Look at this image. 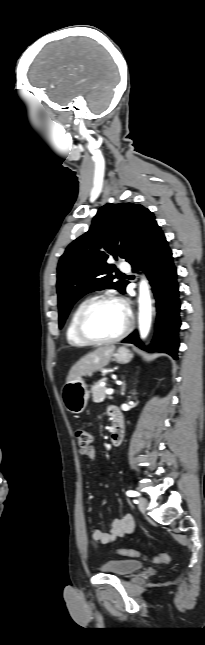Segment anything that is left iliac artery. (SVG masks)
Segmentation results:
<instances>
[{"mask_svg": "<svg viewBox=\"0 0 205 645\" xmlns=\"http://www.w3.org/2000/svg\"><path fill=\"white\" fill-rule=\"evenodd\" d=\"M127 495L129 497H136V496H139L140 494L138 492H136V491L129 490V491H127Z\"/></svg>", "mask_w": 205, "mask_h": 645, "instance_id": "44dca946", "label": "left iliac artery"}]
</instances>
